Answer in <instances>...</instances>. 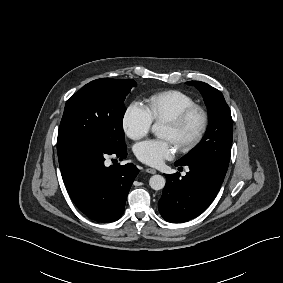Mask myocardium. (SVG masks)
<instances>
[{
    "label": "myocardium",
    "mask_w": 283,
    "mask_h": 283,
    "mask_svg": "<svg viewBox=\"0 0 283 283\" xmlns=\"http://www.w3.org/2000/svg\"><path fill=\"white\" fill-rule=\"evenodd\" d=\"M194 117H197L199 120L198 127L194 134L188 138L180 139L175 143L178 149L181 151H188L194 148L203 139L209 123L207 111L202 106L193 104L182 110L173 118L163 122L165 125H168L174 131L179 133L187 126L190 120Z\"/></svg>",
    "instance_id": "myocardium-1"
}]
</instances>
